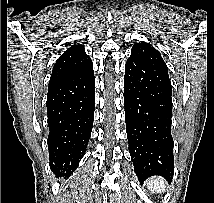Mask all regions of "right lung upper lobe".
I'll use <instances>...</instances> for the list:
<instances>
[{
    "instance_id": "obj_1",
    "label": "right lung upper lobe",
    "mask_w": 214,
    "mask_h": 203,
    "mask_svg": "<svg viewBox=\"0 0 214 203\" xmlns=\"http://www.w3.org/2000/svg\"><path fill=\"white\" fill-rule=\"evenodd\" d=\"M91 62L85 53L83 45L75 44L69 47L56 61L50 81L69 75Z\"/></svg>"
}]
</instances>
